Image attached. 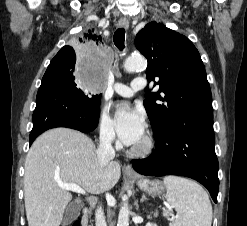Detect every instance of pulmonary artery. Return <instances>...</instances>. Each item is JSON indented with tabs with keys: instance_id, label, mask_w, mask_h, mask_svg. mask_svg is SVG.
<instances>
[{
	"instance_id": "1",
	"label": "pulmonary artery",
	"mask_w": 247,
	"mask_h": 226,
	"mask_svg": "<svg viewBox=\"0 0 247 226\" xmlns=\"http://www.w3.org/2000/svg\"><path fill=\"white\" fill-rule=\"evenodd\" d=\"M144 87L145 80L142 77L135 78L129 86L119 82L113 85L114 91L123 97H131L135 92L144 89Z\"/></svg>"
}]
</instances>
